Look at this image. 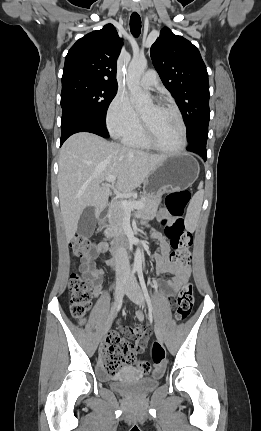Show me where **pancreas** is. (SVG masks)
I'll list each match as a JSON object with an SVG mask.
<instances>
[{"mask_svg":"<svg viewBox=\"0 0 261 431\" xmlns=\"http://www.w3.org/2000/svg\"><path fill=\"white\" fill-rule=\"evenodd\" d=\"M161 196L148 197L146 195L141 196L140 199H131L128 202H141L143 203V208L139 209L137 216L139 217H150L154 216L157 212L158 206L161 203ZM126 218V211L117 203H114L108 212V229L106 234L108 236H113L116 233L123 232V224Z\"/></svg>","mask_w":261,"mask_h":431,"instance_id":"obj_1","label":"pancreas"}]
</instances>
